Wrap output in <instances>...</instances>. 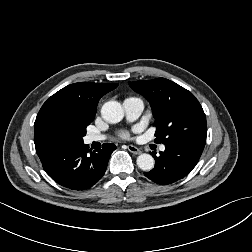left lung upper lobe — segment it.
<instances>
[{
  "instance_id": "1",
  "label": "left lung upper lobe",
  "mask_w": 252,
  "mask_h": 252,
  "mask_svg": "<svg viewBox=\"0 0 252 252\" xmlns=\"http://www.w3.org/2000/svg\"><path fill=\"white\" fill-rule=\"evenodd\" d=\"M150 103L156 126V141L164 145L190 142L205 146V113L195 96L165 78L129 82Z\"/></svg>"
}]
</instances>
